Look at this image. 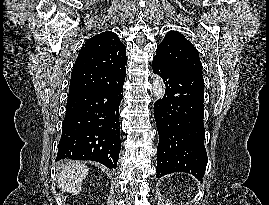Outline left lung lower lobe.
Returning <instances> with one entry per match:
<instances>
[{
  "instance_id": "0a47b994",
  "label": "left lung lower lobe",
  "mask_w": 269,
  "mask_h": 205,
  "mask_svg": "<svg viewBox=\"0 0 269 205\" xmlns=\"http://www.w3.org/2000/svg\"><path fill=\"white\" fill-rule=\"evenodd\" d=\"M152 65L153 72L166 85L163 99L154 105L160 139L157 177L185 172L202 181L208 162L204 146L203 75L171 70L155 58Z\"/></svg>"
}]
</instances>
